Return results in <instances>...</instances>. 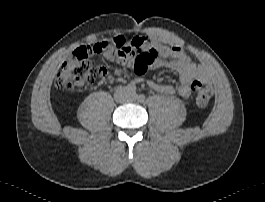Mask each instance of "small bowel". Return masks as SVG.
I'll return each mask as SVG.
<instances>
[{"instance_id":"c3829d8e","label":"small bowel","mask_w":265,"mask_h":202,"mask_svg":"<svg viewBox=\"0 0 265 202\" xmlns=\"http://www.w3.org/2000/svg\"><path fill=\"white\" fill-rule=\"evenodd\" d=\"M145 46L156 51V56L147 62L148 70L155 71L167 67L179 76V85L177 87L172 84L159 83L153 79L148 80V85L164 94L177 92L181 97L188 98L191 95V84L199 78L200 70L198 66L179 46L166 44L154 36H148V43ZM86 51V48H81L76 50V54ZM104 56L107 60L116 61L123 66H131L133 64L132 55L106 52ZM118 80L123 81L124 78L120 77Z\"/></svg>"}]
</instances>
